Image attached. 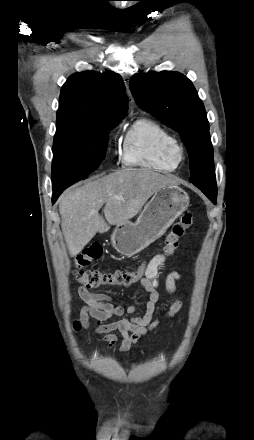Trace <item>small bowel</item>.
I'll return each instance as SVG.
<instances>
[{"label":"small bowel","instance_id":"1","mask_svg":"<svg viewBox=\"0 0 254 440\" xmlns=\"http://www.w3.org/2000/svg\"><path fill=\"white\" fill-rule=\"evenodd\" d=\"M166 256L163 254L155 255L149 262L144 276L140 279V286L148 298L142 305H128L126 307L111 302L108 295L92 292L85 287H79L77 290V301L84 305L79 308V317L85 327L89 326V318L96 321V334H104V341L109 347L116 345L118 337L114 332L121 335L119 349L121 352H127L138 343L140 339L150 330L159 325L158 320H153L156 303L159 299V280L158 267L164 263ZM180 278L178 272H171L165 280V287L168 292H173L176 287V281ZM144 308V314L141 316H132L108 322L114 316H121L125 313L135 314L141 308ZM182 307V301L176 300L167 312V316L175 315Z\"/></svg>","mask_w":254,"mask_h":440}]
</instances>
